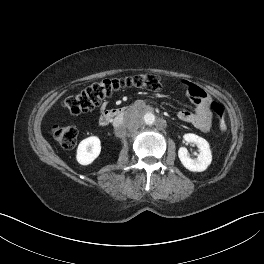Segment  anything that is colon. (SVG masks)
<instances>
[{"label":"colon","mask_w":264,"mask_h":264,"mask_svg":"<svg viewBox=\"0 0 264 264\" xmlns=\"http://www.w3.org/2000/svg\"><path fill=\"white\" fill-rule=\"evenodd\" d=\"M127 88H140L157 92L162 90L163 81L155 74H138L103 79L65 98L63 107L72 114L88 112L99 106L104 99L113 93ZM211 108L218 120L220 130L225 132L227 130V124L223 108L215 102L211 104ZM52 134L63 148L71 149L77 143L78 129L74 125H54Z\"/></svg>","instance_id":"5ec220e1"}]
</instances>
